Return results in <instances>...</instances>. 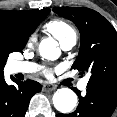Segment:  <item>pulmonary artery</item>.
Masks as SVG:
<instances>
[{"label":"pulmonary artery","instance_id":"pulmonary-artery-1","mask_svg":"<svg viewBox=\"0 0 117 117\" xmlns=\"http://www.w3.org/2000/svg\"><path fill=\"white\" fill-rule=\"evenodd\" d=\"M77 43V36L72 35L65 40L60 42L61 48L64 51H69L71 50ZM38 66L34 63H29V62H17L14 61L11 63V71L13 73H33L37 71ZM88 83V78H84L78 85L80 90H85L87 87Z\"/></svg>","mask_w":117,"mask_h":117}]
</instances>
